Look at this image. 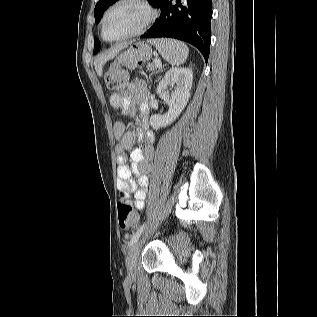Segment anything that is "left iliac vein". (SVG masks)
Returning <instances> with one entry per match:
<instances>
[{
    "mask_svg": "<svg viewBox=\"0 0 317 317\" xmlns=\"http://www.w3.org/2000/svg\"><path fill=\"white\" fill-rule=\"evenodd\" d=\"M141 246V240H137L134 242L130 248L126 259V267L130 277L135 278L136 276V264H137V256L139 253V249Z\"/></svg>",
    "mask_w": 317,
    "mask_h": 317,
    "instance_id": "1",
    "label": "left iliac vein"
}]
</instances>
